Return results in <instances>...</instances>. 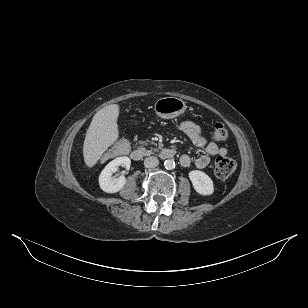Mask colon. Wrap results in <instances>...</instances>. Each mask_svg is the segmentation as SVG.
Listing matches in <instances>:
<instances>
[{
    "label": "colon",
    "instance_id": "obj_1",
    "mask_svg": "<svg viewBox=\"0 0 308 308\" xmlns=\"http://www.w3.org/2000/svg\"><path fill=\"white\" fill-rule=\"evenodd\" d=\"M213 140L223 142L228 139L229 132L222 123H216L212 134ZM130 152V146L126 139H120L113 149L109 150L101 157V163L108 165L114 158H120L122 155H127ZM236 168V163L233 159L225 156H219L216 159L214 173L220 179L228 178Z\"/></svg>",
    "mask_w": 308,
    "mask_h": 308
}]
</instances>
